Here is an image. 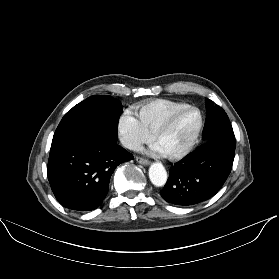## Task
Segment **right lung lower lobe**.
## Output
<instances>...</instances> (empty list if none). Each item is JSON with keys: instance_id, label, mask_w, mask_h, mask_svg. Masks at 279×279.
<instances>
[{"instance_id": "obj_1", "label": "right lung lower lobe", "mask_w": 279, "mask_h": 279, "mask_svg": "<svg viewBox=\"0 0 279 279\" xmlns=\"http://www.w3.org/2000/svg\"><path fill=\"white\" fill-rule=\"evenodd\" d=\"M117 139L116 129L103 127L51 145L48 178L61 205L91 211L102 203L115 168L133 159Z\"/></svg>"}]
</instances>
